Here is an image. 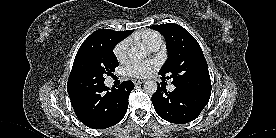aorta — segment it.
I'll return each mask as SVG.
<instances>
[{"mask_svg":"<svg viewBox=\"0 0 276 138\" xmlns=\"http://www.w3.org/2000/svg\"><path fill=\"white\" fill-rule=\"evenodd\" d=\"M128 56L132 61L138 62L146 57V52L141 48L133 47L128 52ZM144 90L149 94L155 93L157 90V83L153 80L146 81L144 83Z\"/></svg>","mask_w":276,"mask_h":138,"instance_id":"762f6f07","label":"aorta"}]
</instances>
